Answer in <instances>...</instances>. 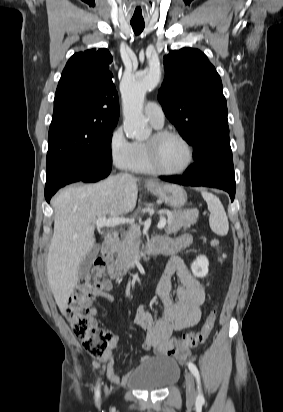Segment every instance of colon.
<instances>
[{
	"instance_id": "1",
	"label": "colon",
	"mask_w": 283,
	"mask_h": 412,
	"mask_svg": "<svg viewBox=\"0 0 283 412\" xmlns=\"http://www.w3.org/2000/svg\"><path fill=\"white\" fill-rule=\"evenodd\" d=\"M211 245L219 253L218 262L220 266H223L225 255L221 252L219 241L213 239ZM105 270V262L101 258H97L83 281L68 298L65 307L72 333L94 358L103 357L113 339V334L96 321L91 311V303L104 281ZM217 309L218 305L214 302L202 328L176 340L178 352L198 347L208 339L216 322Z\"/></svg>"
}]
</instances>
